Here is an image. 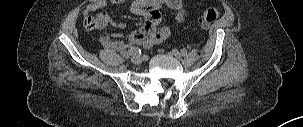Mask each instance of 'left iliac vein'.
Listing matches in <instances>:
<instances>
[{"label": "left iliac vein", "mask_w": 303, "mask_h": 127, "mask_svg": "<svg viewBox=\"0 0 303 127\" xmlns=\"http://www.w3.org/2000/svg\"><path fill=\"white\" fill-rule=\"evenodd\" d=\"M171 55L177 59H181L182 54L178 50H173Z\"/></svg>", "instance_id": "left-iliac-vein-1"}]
</instances>
